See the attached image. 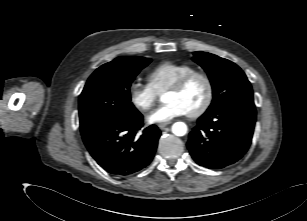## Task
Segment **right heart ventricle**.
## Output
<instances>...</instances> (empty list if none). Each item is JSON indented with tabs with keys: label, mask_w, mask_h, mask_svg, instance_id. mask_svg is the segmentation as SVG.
Returning <instances> with one entry per match:
<instances>
[{
	"label": "right heart ventricle",
	"mask_w": 307,
	"mask_h": 221,
	"mask_svg": "<svg viewBox=\"0 0 307 221\" xmlns=\"http://www.w3.org/2000/svg\"><path fill=\"white\" fill-rule=\"evenodd\" d=\"M195 70L189 63L162 62L149 72L148 83L157 94H161L182 76Z\"/></svg>",
	"instance_id": "e07e8e85"
}]
</instances>
